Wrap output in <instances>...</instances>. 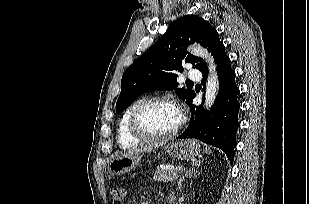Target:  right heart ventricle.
<instances>
[{
  "mask_svg": "<svg viewBox=\"0 0 309 204\" xmlns=\"http://www.w3.org/2000/svg\"><path fill=\"white\" fill-rule=\"evenodd\" d=\"M142 100H137L133 102L124 112L121 117V120L118 125V142L122 148L134 147L140 143V139L134 137L129 131V118L133 109L141 102Z\"/></svg>",
  "mask_w": 309,
  "mask_h": 204,
  "instance_id": "obj_1",
  "label": "right heart ventricle"
}]
</instances>
